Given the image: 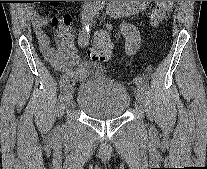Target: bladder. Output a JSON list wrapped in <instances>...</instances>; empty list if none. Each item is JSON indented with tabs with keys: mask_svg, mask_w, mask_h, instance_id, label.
Masks as SVG:
<instances>
[{
	"mask_svg": "<svg viewBox=\"0 0 207 169\" xmlns=\"http://www.w3.org/2000/svg\"><path fill=\"white\" fill-rule=\"evenodd\" d=\"M76 104L80 111L93 119L112 120L127 112L131 96L122 83L109 77L96 76L79 86Z\"/></svg>",
	"mask_w": 207,
	"mask_h": 169,
	"instance_id": "obj_1",
	"label": "bladder"
}]
</instances>
